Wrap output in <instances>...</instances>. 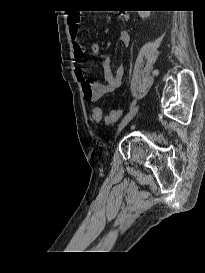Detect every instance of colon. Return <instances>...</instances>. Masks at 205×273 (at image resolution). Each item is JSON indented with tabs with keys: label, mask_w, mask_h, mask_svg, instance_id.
<instances>
[{
	"label": "colon",
	"mask_w": 205,
	"mask_h": 273,
	"mask_svg": "<svg viewBox=\"0 0 205 273\" xmlns=\"http://www.w3.org/2000/svg\"><path fill=\"white\" fill-rule=\"evenodd\" d=\"M122 110H112L108 115L104 116L101 109L94 107L92 109V119L97 123L111 124L118 121L122 117Z\"/></svg>",
	"instance_id": "1"
}]
</instances>
